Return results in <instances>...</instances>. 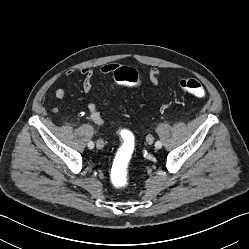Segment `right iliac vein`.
Masks as SVG:
<instances>
[{
	"label": "right iliac vein",
	"instance_id": "obj_1",
	"mask_svg": "<svg viewBox=\"0 0 249 249\" xmlns=\"http://www.w3.org/2000/svg\"><path fill=\"white\" fill-rule=\"evenodd\" d=\"M96 146L98 149H102L104 147V141L103 140H98L96 143Z\"/></svg>",
	"mask_w": 249,
	"mask_h": 249
}]
</instances>
